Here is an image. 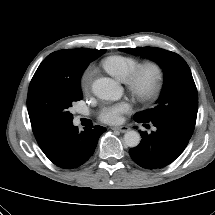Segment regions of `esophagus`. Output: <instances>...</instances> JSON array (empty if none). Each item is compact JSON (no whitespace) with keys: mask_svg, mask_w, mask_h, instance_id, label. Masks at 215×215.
Listing matches in <instances>:
<instances>
[{"mask_svg":"<svg viewBox=\"0 0 215 215\" xmlns=\"http://www.w3.org/2000/svg\"><path fill=\"white\" fill-rule=\"evenodd\" d=\"M113 130H117L121 133H125V132L129 131V127L128 126H117V127H113Z\"/></svg>","mask_w":215,"mask_h":215,"instance_id":"34e87169","label":"esophagus"}]
</instances>
